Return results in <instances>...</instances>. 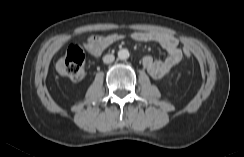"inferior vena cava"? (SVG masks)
Returning a JSON list of instances; mask_svg holds the SVG:
<instances>
[{
  "label": "inferior vena cava",
  "instance_id": "602c4592",
  "mask_svg": "<svg viewBox=\"0 0 244 157\" xmlns=\"http://www.w3.org/2000/svg\"><path fill=\"white\" fill-rule=\"evenodd\" d=\"M114 60H115V57L112 54H107L103 57V62L106 64L112 63Z\"/></svg>",
  "mask_w": 244,
  "mask_h": 157
}]
</instances>
